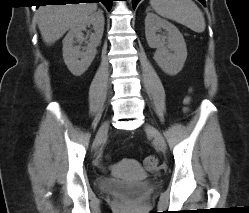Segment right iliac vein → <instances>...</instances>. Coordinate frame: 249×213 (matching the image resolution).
I'll return each mask as SVG.
<instances>
[{"label": "right iliac vein", "instance_id": "63e3f726", "mask_svg": "<svg viewBox=\"0 0 249 213\" xmlns=\"http://www.w3.org/2000/svg\"><path fill=\"white\" fill-rule=\"evenodd\" d=\"M108 129H109V121H106L102 124V126L100 127V129L98 131V134H97L95 141H94V144H93L94 149H97L99 147L103 138L106 136Z\"/></svg>", "mask_w": 249, "mask_h": 213}]
</instances>
